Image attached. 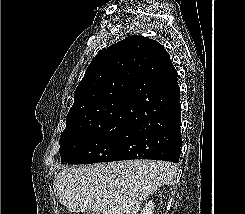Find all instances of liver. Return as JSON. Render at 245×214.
Instances as JSON below:
<instances>
[{
  "label": "liver",
  "instance_id": "obj_1",
  "mask_svg": "<svg viewBox=\"0 0 245 214\" xmlns=\"http://www.w3.org/2000/svg\"><path fill=\"white\" fill-rule=\"evenodd\" d=\"M177 167L160 161L101 163L59 172L56 194L70 212L137 214L140 204L162 185H170Z\"/></svg>",
  "mask_w": 245,
  "mask_h": 214
}]
</instances>
